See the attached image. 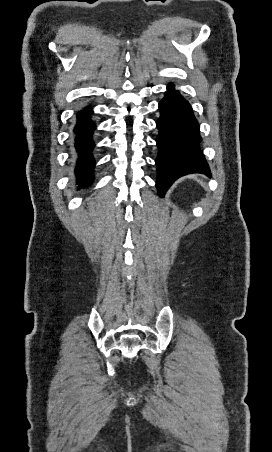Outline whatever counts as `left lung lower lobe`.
Wrapping results in <instances>:
<instances>
[{
	"instance_id": "left-lung-lower-lobe-1",
	"label": "left lung lower lobe",
	"mask_w": 272,
	"mask_h": 452,
	"mask_svg": "<svg viewBox=\"0 0 272 452\" xmlns=\"http://www.w3.org/2000/svg\"><path fill=\"white\" fill-rule=\"evenodd\" d=\"M160 118L157 120L159 149L155 160L156 186L163 197L170 185L179 177L190 173L211 176L210 169L200 150L201 136L190 104L174 85L168 84L165 97L159 103Z\"/></svg>"
}]
</instances>
